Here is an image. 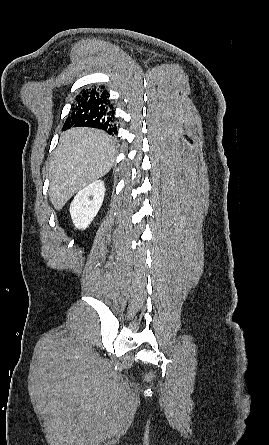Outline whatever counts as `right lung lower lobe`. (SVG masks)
I'll return each mask as SVG.
<instances>
[{
	"label": "right lung lower lobe",
	"instance_id": "98d812e1",
	"mask_svg": "<svg viewBox=\"0 0 269 445\" xmlns=\"http://www.w3.org/2000/svg\"><path fill=\"white\" fill-rule=\"evenodd\" d=\"M114 114L109 94L104 87L86 88L77 95L63 128L66 130L71 127H93L110 135H117Z\"/></svg>",
	"mask_w": 269,
	"mask_h": 445
}]
</instances>
